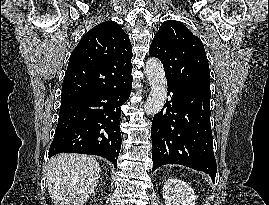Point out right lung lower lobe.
<instances>
[{
	"mask_svg": "<svg viewBox=\"0 0 269 205\" xmlns=\"http://www.w3.org/2000/svg\"><path fill=\"white\" fill-rule=\"evenodd\" d=\"M131 72L115 88L61 100L55 137L49 157L81 153L108 159L117 168L121 148V106L131 92Z\"/></svg>",
	"mask_w": 269,
	"mask_h": 205,
	"instance_id": "98d812e1",
	"label": "right lung lower lobe"
}]
</instances>
